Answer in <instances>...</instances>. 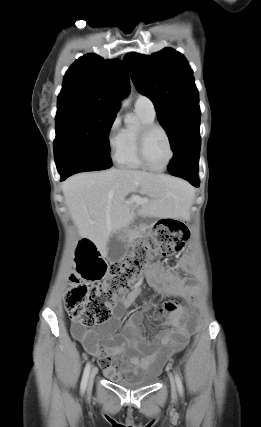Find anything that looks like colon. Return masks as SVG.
<instances>
[{
  "label": "colon",
  "instance_id": "obj_1",
  "mask_svg": "<svg viewBox=\"0 0 261 427\" xmlns=\"http://www.w3.org/2000/svg\"><path fill=\"white\" fill-rule=\"evenodd\" d=\"M188 238L183 223L161 220L150 238L136 242L122 262L112 264L105 261L91 240H82L77 248L76 273L71 277L65 302L71 321L86 327L106 322L117 298L133 290L148 263L157 256L180 253ZM96 282L99 283L87 284ZM175 308L176 303L168 301L162 312Z\"/></svg>",
  "mask_w": 261,
  "mask_h": 427
}]
</instances>
